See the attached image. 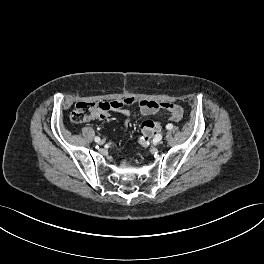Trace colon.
<instances>
[{
    "mask_svg": "<svg viewBox=\"0 0 264 264\" xmlns=\"http://www.w3.org/2000/svg\"><path fill=\"white\" fill-rule=\"evenodd\" d=\"M133 103L131 98L115 100L111 102H79L71 112L70 120L75 124H82L93 119L104 118L111 109H119ZM162 128L158 121L146 120L141 125L142 137L140 144L147 146L150 140L157 135Z\"/></svg>",
    "mask_w": 264,
    "mask_h": 264,
    "instance_id": "colon-1",
    "label": "colon"
}]
</instances>
